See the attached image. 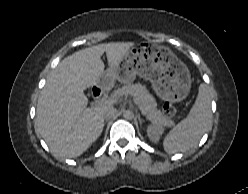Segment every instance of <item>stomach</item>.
<instances>
[{
  "label": "stomach",
  "instance_id": "obj_1",
  "mask_svg": "<svg viewBox=\"0 0 248 194\" xmlns=\"http://www.w3.org/2000/svg\"><path fill=\"white\" fill-rule=\"evenodd\" d=\"M120 63L115 76L106 74L104 82L128 84L138 75L152 83L160 98L174 102L183 100L190 91L189 70L169 48L140 44L131 48Z\"/></svg>",
  "mask_w": 248,
  "mask_h": 194
}]
</instances>
